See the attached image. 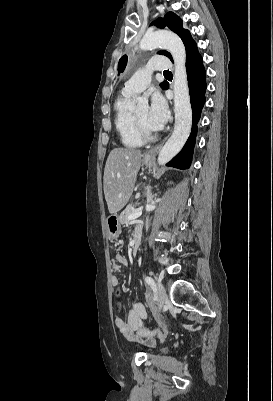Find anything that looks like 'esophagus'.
<instances>
[{
	"instance_id": "obj_1",
	"label": "esophagus",
	"mask_w": 273,
	"mask_h": 401,
	"mask_svg": "<svg viewBox=\"0 0 273 401\" xmlns=\"http://www.w3.org/2000/svg\"><path fill=\"white\" fill-rule=\"evenodd\" d=\"M164 141H165V139L161 143H159V145H156L153 148H151L149 151H147V153L145 154V158L154 159L156 156V153L161 148V146L164 144Z\"/></svg>"
}]
</instances>
